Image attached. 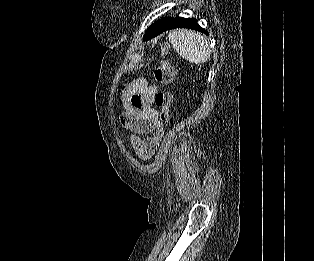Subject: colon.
<instances>
[{
	"label": "colon",
	"instance_id": "obj_1",
	"mask_svg": "<svg viewBox=\"0 0 314 261\" xmlns=\"http://www.w3.org/2000/svg\"><path fill=\"white\" fill-rule=\"evenodd\" d=\"M166 50V46L162 47L163 54ZM153 77L157 83L166 87L173 82L175 78V69L165 57H162L153 72ZM154 101L159 109L160 119L167 122L169 120V110L172 102L171 94L166 89H163L156 93Z\"/></svg>",
	"mask_w": 314,
	"mask_h": 261
}]
</instances>
